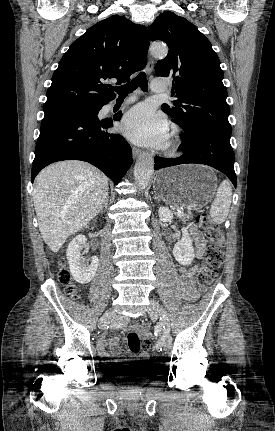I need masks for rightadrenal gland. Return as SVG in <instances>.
Listing matches in <instances>:
<instances>
[{
    "instance_id": "obj_1",
    "label": "right adrenal gland",
    "mask_w": 275,
    "mask_h": 431,
    "mask_svg": "<svg viewBox=\"0 0 275 431\" xmlns=\"http://www.w3.org/2000/svg\"><path fill=\"white\" fill-rule=\"evenodd\" d=\"M108 200H109V197L107 196V198H106V200H105V202H104V204H103L102 208H103V207H107V205H108ZM101 210H102V209H101Z\"/></svg>"
}]
</instances>
